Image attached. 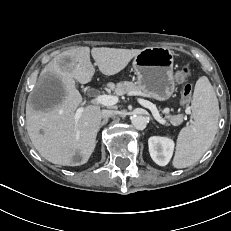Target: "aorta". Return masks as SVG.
I'll list each match as a JSON object with an SVG mask.
<instances>
[{"mask_svg": "<svg viewBox=\"0 0 231 231\" xmlns=\"http://www.w3.org/2000/svg\"><path fill=\"white\" fill-rule=\"evenodd\" d=\"M132 125L138 130H143L147 125V119L142 115H136L132 118Z\"/></svg>", "mask_w": 231, "mask_h": 231, "instance_id": "aorta-1", "label": "aorta"}]
</instances>
